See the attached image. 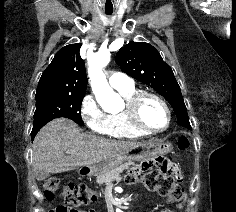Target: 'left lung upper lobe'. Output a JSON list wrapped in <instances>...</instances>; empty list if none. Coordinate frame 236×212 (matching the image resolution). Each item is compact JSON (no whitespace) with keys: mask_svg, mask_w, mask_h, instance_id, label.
<instances>
[{"mask_svg":"<svg viewBox=\"0 0 236 212\" xmlns=\"http://www.w3.org/2000/svg\"><path fill=\"white\" fill-rule=\"evenodd\" d=\"M115 61L123 72L164 96L174 109L177 123L191 128L180 87L156 48L149 43L132 41L118 51Z\"/></svg>","mask_w":236,"mask_h":212,"instance_id":"5c2ea615","label":"left lung upper lobe"}]
</instances>
